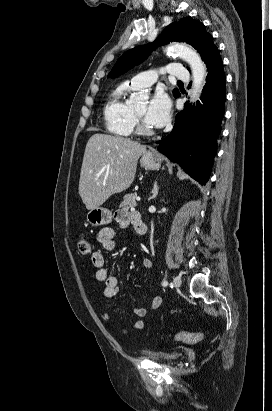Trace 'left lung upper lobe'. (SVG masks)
<instances>
[{
  "label": "left lung upper lobe",
  "instance_id": "5c2ea615",
  "mask_svg": "<svg viewBox=\"0 0 272 411\" xmlns=\"http://www.w3.org/2000/svg\"><path fill=\"white\" fill-rule=\"evenodd\" d=\"M172 41L186 42L192 45L200 53L204 62L211 52L217 48L204 25L190 17H186L169 24L153 43L135 47L124 53L117 60L107 77L115 78L127 72L143 62L155 47ZM173 95L178 97L180 95L179 90L174 89Z\"/></svg>",
  "mask_w": 272,
  "mask_h": 411
}]
</instances>
